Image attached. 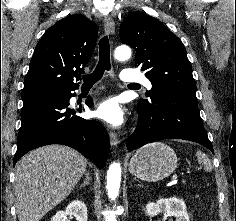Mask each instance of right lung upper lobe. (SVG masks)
<instances>
[{
  "label": "right lung upper lobe",
  "instance_id": "obj_1",
  "mask_svg": "<svg viewBox=\"0 0 236 221\" xmlns=\"http://www.w3.org/2000/svg\"><path fill=\"white\" fill-rule=\"evenodd\" d=\"M98 27L83 15H71L50 27L36 45L22 94L78 87L94 51Z\"/></svg>",
  "mask_w": 236,
  "mask_h": 221
}]
</instances>
